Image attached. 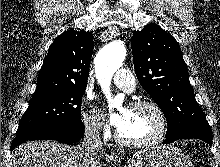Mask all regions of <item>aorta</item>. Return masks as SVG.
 Masks as SVG:
<instances>
[{
    "label": "aorta",
    "mask_w": 220,
    "mask_h": 167,
    "mask_svg": "<svg viewBox=\"0 0 220 167\" xmlns=\"http://www.w3.org/2000/svg\"><path fill=\"white\" fill-rule=\"evenodd\" d=\"M125 57L126 48L123 42L113 41L102 48L94 60L96 78L107 98L109 110L121 103V99L111 97L110 84L114 73L123 65Z\"/></svg>",
    "instance_id": "obj_1"
}]
</instances>
